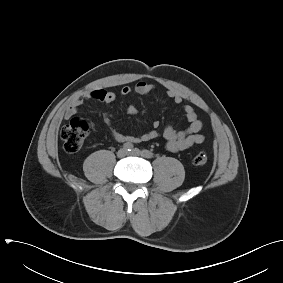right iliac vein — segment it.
<instances>
[{
    "instance_id": "1",
    "label": "right iliac vein",
    "mask_w": 283,
    "mask_h": 283,
    "mask_svg": "<svg viewBox=\"0 0 283 283\" xmlns=\"http://www.w3.org/2000/svg\"><path fill=\"white\" fill-rule=\"evenodd\" d=\"M126 155H127V151H126L124 148L118 150V152H117V156H118L119 158H123V157H125Z\"/></svg>"
}]
</instances>
